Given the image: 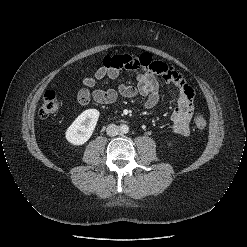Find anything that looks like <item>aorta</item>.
I'll return each instance as SVG.
<instances>
[{"label":"aorta","mask_w":247,"mask_h":247,"mask_svg":"<svg viewBox=\"0 0 247 247\" xmlns=\"http://www.w3.org/2000/svg\"><path fill=\"white\" fill-rule=\"evenodd\" d=\"M120 132L122 134H127L129 132V127L127 125H125V124L121 125L120 126Z\"/></svg>","instance_id":"762f6f07"}]
</instances>
